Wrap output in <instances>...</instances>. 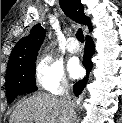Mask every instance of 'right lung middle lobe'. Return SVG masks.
Listing matches in <instances>:
<instances>
[{
	"mask_svg": "<svg viewBox=\"0 0 122 123\" xmlns=\"http://www.w3.org/2000/svg\"><path fill=\"white\" fill-rule=\"evenodd\" d=\"M36 57L22 62L7 70L6 90L7 102L11 103L18 95L36 91L35 81Z\"/></svg>",
	"mask_w": 122,
	"mask_h": 123,
	"instance_id": "1",
	"label": "right lung middle lobe"
}]
</instances>
